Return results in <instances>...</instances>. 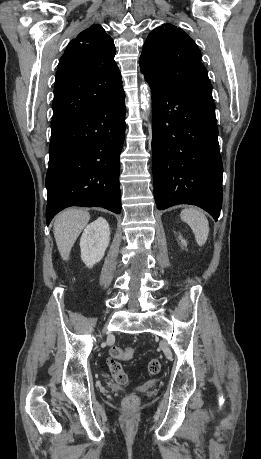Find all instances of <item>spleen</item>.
<instances>
[{
    "mask_svg": "<svg viewBox=\"0 0 261 459\" xmlns=\"http://www.w3.org/2000/svg\"><path fill=\"white\" fill-rule=\"evenodd\" d=\"M181 219L192 229L196 242L203 246L209 235V222L205 214L196 208H188L181 211Z\"/></svg>",
    "mask_w": 261,
    "mask_h": 459,
    "instance_id": "3e777b00",
    "label": "spleen"
}]
</instances>
